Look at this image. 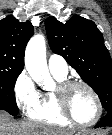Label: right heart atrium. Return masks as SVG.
<instances>
[{
    "label": "right heart atrium",
    "mask_w": 112,
    "mask_h": 135,
    "mask_svg": "<svg viewBox=\"0 0 112 135\" xmlns=\"http://www.w3.org/2000/svg\"><path fill=\"white\" fill-rule=\"evenodd\" d=\"M13 93L18 108L25 113L38 102L39 91L26 71H22L15 80Z\"/></svg>",
    "instance_id": "right-heart-atrium-1"
}]
</instances>
